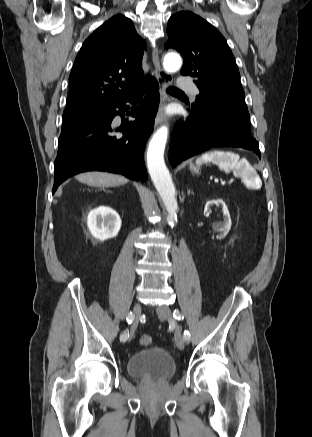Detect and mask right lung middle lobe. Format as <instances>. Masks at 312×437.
I'll return each instance as SVG.
<instances>
[{"label": "right lung middle lobe", "mask_w": 312, "mask_h": 437, "mask_svg": "<svg viewBox=\"0 0 312 437\" xmlns=\"http://www.w3.org/2000/svg\"><path fill=\"white\" fill-rule=\"evenodd\" d=\"M106 109H81L64 111L62 132L73 130L104 115Z\"/></svg>", "instance_id": "obj_1"}]
</instances>
